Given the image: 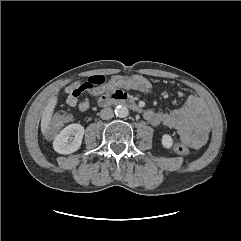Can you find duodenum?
I'll return each instance as SVG.
<instances>
[{"label": "duodenum", "mask_w": 241, "mask_h": 241, "mask_svg": "<svg viewBox=\"0 0 241 241\" xmlns=\"http://www.w3.org/2000/svg\"><path fill=\"white\" fill-rule=\"evenodd\" d=\"M98 103L101 107L122 104L134 110H139L136 102L128 94L122 91H116L113 96H101Z\"/></svg>", "instance_id": "duodenum-1"}]
</instances>
